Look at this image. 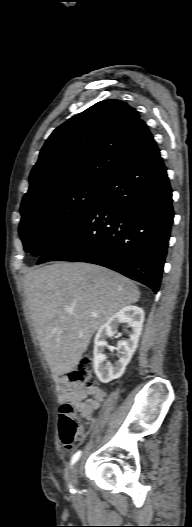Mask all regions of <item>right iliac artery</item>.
I'll list each match as a JSON object with an SVG mask.
<instances>
[{"instance_id":"82829eb1","label":"right iliac artery","mask_w":192,"mask_h":527,"mask_svg":"<svg viewBox=\"0 0 192 527\" xmlns=\"http://www.w3.org/2000/svg\"><path fill=\"white\" fill-rule=\"evenodd\" d=\"M80 456H81V451H77V452L72 456V459H71V465H74V464L78 461V459L80 458ZM70 488H71V489H70L71 492H74V491H75V489H73V487H72L71 485H70Z\"/></svg>"}]
</instances>
